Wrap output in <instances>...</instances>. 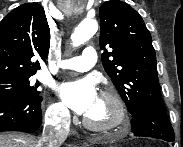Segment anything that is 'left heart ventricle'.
I'll use <instances>...</instances> for the list:
<instances>
[{
  "mask_svg": "<svg viewBox=\"0 0 183 147\" xmlns=\"http://www.w3.org/2000/svg\"><path fill=\"white\" fill-rule=\"evenodd\" d=\"M85 116L95 123L105 125L115 120L116 111L109 100L98 96L93 107Z\"/></svg>",
  "mask_w": 183,
  "mask_h": 147,
  "instance_id": "1",
  "label": "left heart ventricle"
}]
</instances>
